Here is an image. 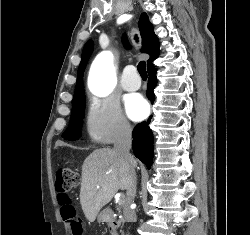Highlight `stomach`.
<instances>
[{"mask_svg":"<svg viewBox=\"0 0 250 235\" xmlns=\"http://www.w3.org/2000/svg\"><path fill=\"white\" fill-rule=\"evenodd\" d=\"M98 220L102 222L107 220V215L104 211L98 215Z\"/></svg>","mask_w":250,"mask_h":235,"instance_id":"obj_1","label":"stomach"}]
</instances>
